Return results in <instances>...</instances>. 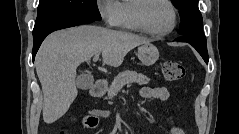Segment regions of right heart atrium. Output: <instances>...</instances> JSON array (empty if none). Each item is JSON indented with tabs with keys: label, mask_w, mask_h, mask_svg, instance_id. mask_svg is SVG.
Returning a JSON list of instances; mask_svg holds the SVG:
<instances>
[{
	"label": "right heart atrium",
	"mask_w": 239,
	"mask_h": 134,
	"mask_svg": "<svg viewBox=\"0 0 239 134\" xmlns=\"http://www.w3.org/2000/svg\"><path fill=\"white\" fill-rule=\"evenodd\" d=\"M97 10L107 26H117L119 19V4L116 0H98Z\"/></svg>",
	"instance_id": "obj_1"
}]
</instances>
